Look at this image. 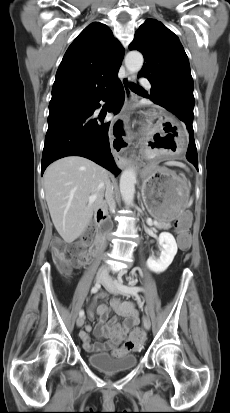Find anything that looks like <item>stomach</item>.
Masks as SVG:
<instances>
[{
	"label": "stomach",
	"mask_w": 230,
	"mask_h": 413,
	"mask_svg": "<svg viewBox=\"0 0 230 413\" xmlns=\"http://www.w3.org/2000/svg\"><path fill=\"white\" fill-rule=\"evenodd\" d=\"M143 177V202L158 222L172 221L186 209L189 186L184 178L164 167L147 168Z\"/></svg>",
	"instance_id": "stomach-1"
}]
</instances>
